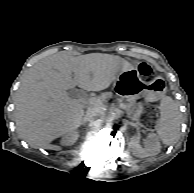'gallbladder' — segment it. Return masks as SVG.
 Masks as SVG:
<instances>
[{
  "mask_svg": "<svg viewBox=\"0 0 194 193\" xmlns=\"http://www.w3.org/2000/svg\"><path fill=\"white\" fill-rule=\"evenodd\" d=\"M69 95L72 96L73 93H76V90L72 89L68 91Z\"/></svg>",
  "mask_w": 194,
  "mask_h": 193,
  "instance_id": "1",
  "label": "gallbladder"
}]
</instances>
